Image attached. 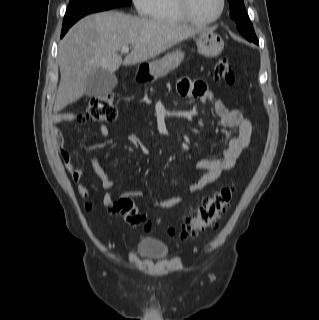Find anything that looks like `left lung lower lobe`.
I'll list each match as a JSON object with an SVG mask.
<instances>
[{
  "label": "left lung lower lobe",
  "mask_w": 319,
  "mask_h": 320,
  "mask_svg": "<svg viewBox=\"0 0 319 320\" xmlns=\"http://www.w3.org/2000/svg\"><path fill=\"white\" fill-rule=\"evenodd\" d=\"M246 39H248L249 41H253V42H255V43H257L258 44V40H257V37H248V36H245V35H243Z\"/></svg>",
  "instance_id": "obj_1"
}]
</instances>
